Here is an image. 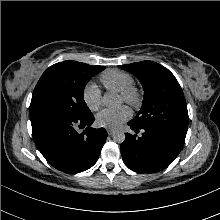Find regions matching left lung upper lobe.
Wrapping results in <instances>:
<instances>
[{
  "instance_id": "obj_1",
  "label": "left lung upper lobe",
  "mask_w": 220,
  "mask_h": 220,
  "mask_svg": "<svg viewBox=\"0 0 220 220\" xmlns=\"http://www.w3.org/2000/svg\"><path fill=\"white\" fill-rule=\"evenodd\" d=\"M122 69L134 74L144 89L142 107L130 122L137 127L163 128L186 137L187 105L175 76L152 61L122 65Z\"/></svg>"
}]
</instances>
